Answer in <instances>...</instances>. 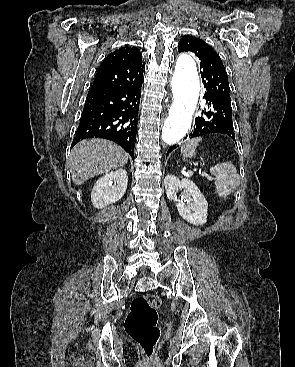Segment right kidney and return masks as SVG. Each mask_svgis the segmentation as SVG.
Here are the masks:
<instances>
[{
	"label": "right kidney",
	"instance_id": "1",
	"mask_svg": "<svg viewBox=\"0 0 295 367\" xmlns=\"http://www.w3.org/2000/svg\"><path fill=\"white\" fill-rule=\"evenodd\" d=\"M128 175L125 169L105 174L94 185L91 200L96 208H103L119 201L125 194Z\"/></svg>",
	"mask_w": 295,
	"mask_h": 367
}]
</instances>
